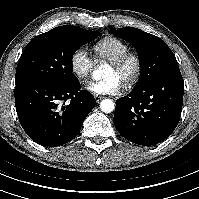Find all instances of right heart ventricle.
I'll list each match as a JSON object with an SVG mask.
<instances>
[{
    "instance_id": "e07e8e85",
    "label": "right heart ventricle",
    "mask_w": 199,
    "mask_h": 199,
    "mask_svg": "<svg viewBox=\"0 0 199 199\" xmlns=\"http://www.w3.org/2000/svg\"><path fill=\"white\" fill-rule=\"evenodd\" d=\"M129 49L130 47L125 41L115 37L104 38L93 46L96 56L109 62L125 54Z\"/></svg>"
}]
</instances>
